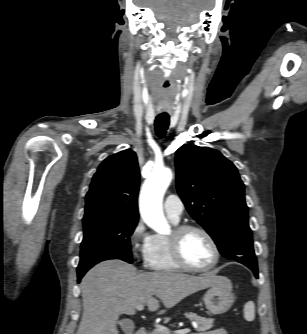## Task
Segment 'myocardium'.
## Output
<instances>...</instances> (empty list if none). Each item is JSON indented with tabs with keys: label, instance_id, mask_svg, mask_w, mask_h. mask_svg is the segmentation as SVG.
<instances>
[{
	"label": "myocardium",
	"instance_id": "f54148a6",
	"mask_svg": "<svg viewBox=\"0 0 307 334\" xmlns=\"http://www.w3.org/2000/svg\"><path fill=\"white\" fill-rule=\"evenodd\" d=\"M196 231L201 234H203L207 240L210 242L213 251H214V259L211 264L205 267H196L191 265L185 258L183 251H182V241L184 236L191 232ZM170 252L172 255V258L176 262V264L184 270L192 271V272H205L213 269L220 260V249L219 246L214 239V237L211 235L209 231H207L205 228L194 225V224H182L176 226L170 236L167 238Z\"/></svg>",
	"mask_w": 307,
	"mask_h": 334
}]
</instances>
